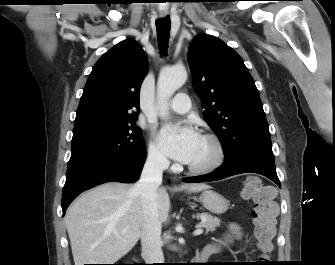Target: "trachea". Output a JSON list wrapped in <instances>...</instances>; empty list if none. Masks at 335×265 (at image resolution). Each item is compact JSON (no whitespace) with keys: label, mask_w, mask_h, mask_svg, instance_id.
<instances>
[{"label":"trachea","mask_w":335,"mask_h":265,"mask_svg":"<svg viewBox=\"0 0 335 265\" xmlns=\"http://www.w3.org/2000/svg\"><path fill=\"white\" fill-rule=\"evenodd\" d=\"M157 29V37L159 42V48L161 50L162 55H166V49L168 47V39L170 35L171 22L170 17H165L163 19H159L155 22Z\"/></svg>","instance_id":"1"}]
</instances>
